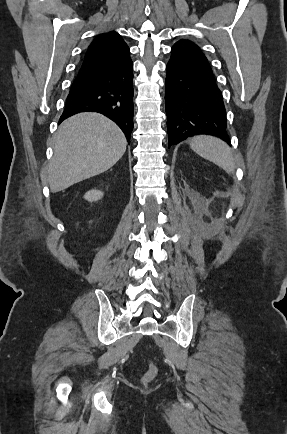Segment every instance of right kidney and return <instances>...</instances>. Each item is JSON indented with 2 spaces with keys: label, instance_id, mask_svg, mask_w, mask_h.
<instances>
[{
  "label": "right kidney",
  "instance_id": "1",
  "mask_svg": "<svg viewBox=\"0 0 287 434\" xmlns=\"http://www.w3.org/2000/svg\"><path fill=\"white\" fill-rule=\"evenodd\" d=\"M102 197H103V192L100 190H96V189L89 190L84 195V198L89 202L98 201Z\"/></svg>",
  "mask_w": 287,
  "mask_h": 434
}]
</instances>
